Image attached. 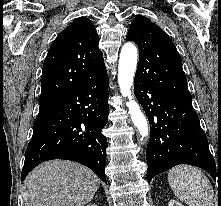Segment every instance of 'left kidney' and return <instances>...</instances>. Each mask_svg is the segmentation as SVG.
<instances>
[{
    "mask_svg": "<svg viewBox=\"0 0 221 206\" xmlns=\"http://www.w3.org/2000/svg\"><path fill=\"white\" fill-rule=\"evenodd\" d=\"M168 206H184V205H182L180 202L172 199V200L169 201Z\"/></svg>",
    "mask_w": 221,
    "mask_h": 206,
    "instance_id": "obj_1",
    "label": "left kidney"
}]
</instances>
